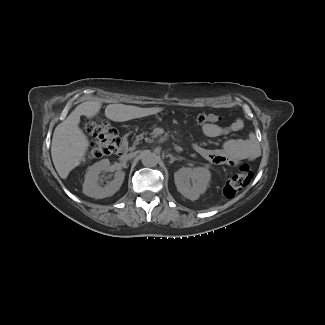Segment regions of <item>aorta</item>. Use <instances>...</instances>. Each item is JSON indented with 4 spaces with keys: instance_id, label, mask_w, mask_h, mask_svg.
Returning a JSON list of instances; mask_svg holds the SVG:
<instances>
[{
    "instance_id": "762f6f07",
    "label": "aorta",
    "mask_w": 325,
    "mask_h": 325,
    "mask_svg": "<svg viewBox=\"0 0 325 325\" xmlns=\"http://www.w3.org/2000/svg\"><path fill=\"white\" fill-rule=\"evenodd\" d=\"M142 164L146 167H155L158 164L159 157L150 150H145L141 153Z\"/></svg>"
}]
</instances>
